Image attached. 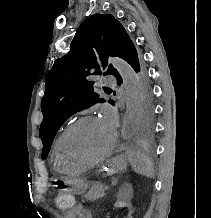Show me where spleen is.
Listing matches in <instances>:
<instances>
[{
    "label": "spleen",
    "instance_id": "obj_1",
    "mask_svg": "<svg viewBox=\"0 0 211 218\" xmlns=\"http://www.w3.org/2000/svg\"><path fill=\"white\" fill-rule=\"evenodd\" d=\"M127 158L136 174L147 176V178H153L154 168L149 156L142 154V152H128Z\"/></svg>",
    "mask_w": 211,
    "mask_h": 218
}]
</instances>
